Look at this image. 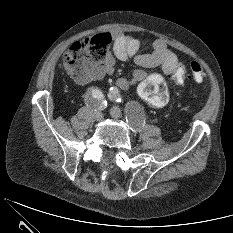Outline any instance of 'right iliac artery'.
<instances>
[{
	"instance_id": "obj_1",
	"label": "right iliac artery",
	"mask_w": 233,
	"mask_h": 233,
	"mask_svg": "<svg viewBox=\"0 0 233 233\" xmlns=\"http://www.w3.org/2000/svg\"><path fill=\"white\" fill-rule=\"evenodd\" d=\"M85 101L88 105L95 109H102L106 105L104 96L99 89H92L85 95Z\"/></svg>"
}]
</instances>
